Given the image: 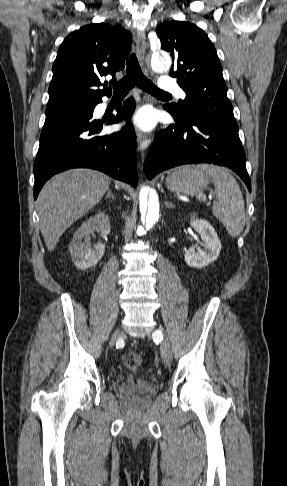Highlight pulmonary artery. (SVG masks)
<instances>
[{"instance_id": "e3ab8cb5", "label": "pulmonary artery", "mask_w": 287, "mask_h": 486, "mask_svg": "<svg viewBox=\"0 0 287 486\" xmlns=\"http://www.w3.org/2000/svg\"><path fill=\"white\" fill-rule=\"evenodd\" d=\"M159 87L162 91L164 92H173L176 93L180 97H184L185 93L182 91V89L179 87L175 79L163 76L160 79Z\"/></svg>"}]
</instances>
